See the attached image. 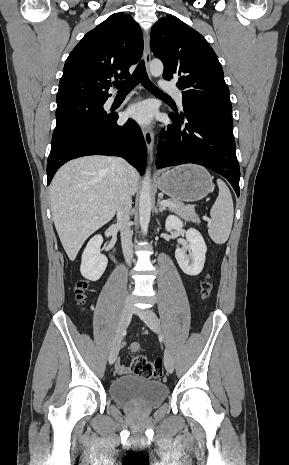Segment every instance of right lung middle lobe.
<instances>
[{
    "label": "right lung middle lobe",
    "mask_w": 289,
    "mask_h": 465,
    "mask_svg": "<svg viewBox=\"0 0 289 465\" xmlns=\"http://www.w3.org/2000/svg\"><path fill=\"white\" fill-rule=\"evenodd\" d=\"M106 100H77L57 105L56 128L52 140L88 124L104 120L109 114L103 109Z\"/></svg>",
    "instance_id": "dd1d6c3e"
}]
</instances>
